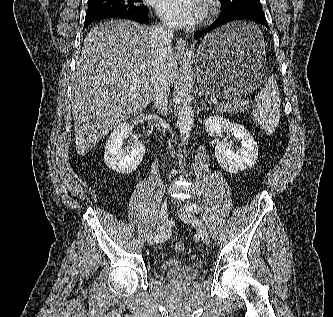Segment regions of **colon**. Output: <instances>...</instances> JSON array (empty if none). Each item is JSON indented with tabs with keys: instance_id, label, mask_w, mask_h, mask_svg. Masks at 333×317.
<instances>
[{
	"instance_id": "colon-1",
	"label": "colon",
	"mask_w": 333,
	"mask_h": 317,
	"mask_svg": "<svg viewBox=\"0 0 333 317\" xmlns=\"http://www.w3.org/2000/svg\"><path fill=\"white\" fill-rule=\"evenodd\" d=\"M174 249L176 252H183L185 250V244L182 241H178L174 245Z\"/></svg>"
}]
</instances>
